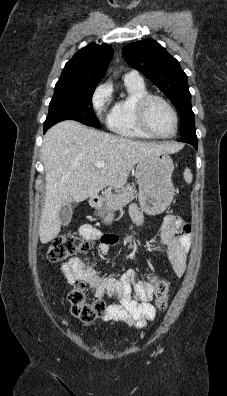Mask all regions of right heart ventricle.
I'll return each instance as SVG.
<instances>
[{
	"mask_svg": "<svg viewBox=\"0 0 227 396\" xmlns=\"http://www.w3.org/2000/svg\"><path fill=\"white\" fill-rule=\"evenodd\" d=\"M126 95L116 100L107 116L108 128L120 136L134 139H151L139 126L136 116V104L148 94L143 81L124 79Z\"/></svg>",
	"mask_w": 227,
	"mask_h": 396,
	"instance_id": "right-heart-ventricle-1",
	"label": "right heart ventricle"
}]
</instances>
